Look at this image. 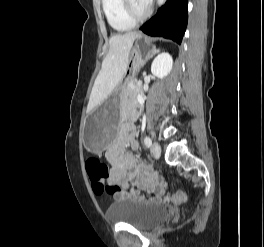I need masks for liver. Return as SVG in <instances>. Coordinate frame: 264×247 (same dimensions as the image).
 <instances>
[{"mask_svg":"<svg viewBox=\"0 0 264 247\" xmlns=\"http://www.w3.org/2000/svg\"><path fill=\"white\" fill-rule=\"evenodd\" d=\"M140 36L137 32H128L122 35H113L109 39L110 48L95 80L87 106V113L92 112L107 99L124 77L133 42Z\"/></svg>","mask_w":264,"mask_h":247,"instance_id":"1","label":"liver"}]
</instances>
